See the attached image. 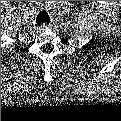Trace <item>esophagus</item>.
<instances>
[{
	"instance_id": "esophagus-1",
	"label": "esophagus",
	"mask_w": 121,
	"mask_h": 121,
	"mask_svg": "<svg viewBox=\"0 0 121 121\" xmlns=\"http://www.w3.org/2000/svg\"><path fill=\"white\" fill-rule=\"evenodd\" d=\"M41 30H46L49 28V25L47 23H43L41 26H40Z\"/></svg>"
}]
</instances>
